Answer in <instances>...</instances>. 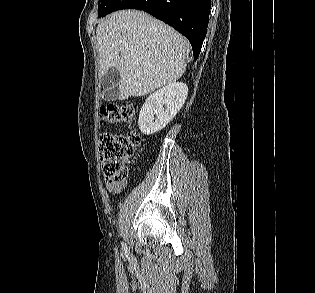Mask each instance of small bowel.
<instances>
[{"mask_svg": "<svg viewBox=\"0 0 315 293\" xmlns=\"http://www.w3.org/2000/svg\"><path fill=\"white\" fill-rule=\"evenodd\" d=\"M124 183H107L106 188L112 194L116 195L123 189Z\"/></svg>", "mask_w": 315, "mask_h": 293, "instance_id": "c3829d8e", "label": "small bowel"}]
</instances>
